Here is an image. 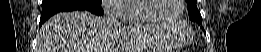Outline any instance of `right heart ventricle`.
<instances>
[{
    "label": "right heart ventricle",
    "instance_id": "right-heart-ventricle-1",
    "mask_svg": "<svg viewBox=\"0 0 261 52\" xmlns=\"http://www.w3.org/2000/svg\"><path fill=\"white\" fill-rule=\"evenodd\" d=\"M142 1L136 0V1H130L126 4H123L120 6V9L124 10L125 12L130 15L128 19L126 20V24H144V23H150V21L147 19L146 16L143 14H139V6Z\"/></svg>",
    "mask_w": 261,
    "mask_h": 52
}]
</instances>
